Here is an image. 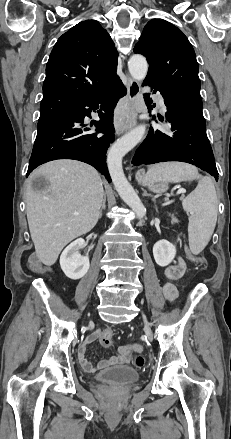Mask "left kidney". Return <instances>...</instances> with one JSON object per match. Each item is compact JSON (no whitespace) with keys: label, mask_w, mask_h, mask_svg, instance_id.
I'll return each mask as SVG.
<instances>
[{"label":"left kidney","mask_w":231,"mask_h":439,"mask_svg":"<svg viewBox=\"0 0 231 439\" xmlns=\"http://www.w3.org/2000/svg\"><path fill=\"white\" fill-rule=\"evenodd\" d=\"M153 255L159 266H167L175 258L176 247L173 243L167 240H160L153 246Z\"/></svg>","instance_id":"obj_1"}]
</instances>
